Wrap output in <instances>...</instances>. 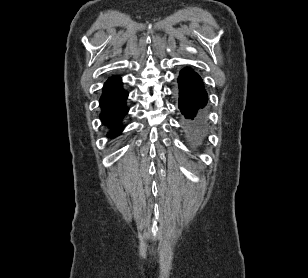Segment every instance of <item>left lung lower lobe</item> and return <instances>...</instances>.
Wrapping results in <instances>:
<instances>
[{
	"label": "left lung lower lobe",
	"mask_w": 308,
	"mask_h": 278,
	"mask_svg": "<svg viewBox=\"0 0 308 278\" xmlns=\"http://www.w3.org/2000/svg\"><path fill=\"white\" fill-rule=\"evenodd\" d=\"M178 84L179 108L182 114L188 120V134L192 138L198 139L201 137V110L206 106L208 100L202 79L190 68H185L180 71Z\"/></svg>",
	"instance_id": "left-lung-lower-lobe-1"
}]
</instances>
